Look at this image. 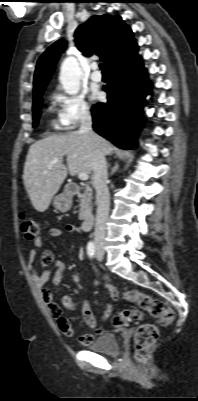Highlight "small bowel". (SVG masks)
Returning <instances> with one entry per match:
<instances>
[{
  "instance_id": "1",
  "label": "small bowel",
  "mask_w": 198,
  "mask_h": 401,
  "mask_svg": "<svg viewBox=\"0 0 198 401\" xmlns=\"http://www.w3.org/2000/svg\"><path fill=\"white\" fill-rule=\"evenodd\" d=\"M65 231L67 233H81V229L73 224H68L65 227ZM48 234L52 238H59L63 235V230L58 228V227H52L48 230ZM42 246V238L41 236H38L35 239L34 242V247H32L29 251V264L28 268L31 272V278L33 283L35 284L37 290L39 291L42 300L46 303L48 306V310L50 314L57 319L58 327L62 335L66 337H71V338H77L79 340V343L83 346H86L90 344L94 336L91 334H83L79 335L71 322L63 318L61 315L57 316L54 312V309L56 307V303L53 300V294L50 289L45 287V283L48 281L51 273L55 271V278L53 280L54 285L58 286L60 284V280L62 276L64 275L65 272V263L61 260H56L53 258V256L50 253H44L41 257V265H42V271L39 272L35 268V261L38 258V249ZM98 282V276L95 280V283ZM107 290L109 293V296L111 300L116 301L118 299V293L115 288L111 286H107ZM82 312L85 321L87 324L94 328L97 334H102L103 329L100 326H97L96 321L93 317L91 307L89 303H84L82 307ZM111 313V305L108 304L104 314H103V319H106Z\"/></svg>"
}]
</instances>
